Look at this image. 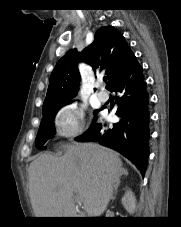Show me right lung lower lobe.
<instances>
[{
	"label": "right lung lower lobe",
	"instance_id": "right-lung-lower-lobe-1",
	"mask_svg": "<svg viewBox=\"0 0 181 227\" xmlns=\"http://www.w3.org/2000/svg\"><path fill=\"white\" fill-rule=\"evenodd\" d=\"M108 89L121 94L117 97L116 111L120 121L111 129L94 124L76 140L99 142L119 151L144 175L149 156V96L142 67L134 55L126 60L121 73Z\"/></svg>",
	"mask_w": 181,
	"mask_h": 227
}]
</instances>
